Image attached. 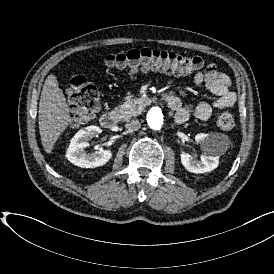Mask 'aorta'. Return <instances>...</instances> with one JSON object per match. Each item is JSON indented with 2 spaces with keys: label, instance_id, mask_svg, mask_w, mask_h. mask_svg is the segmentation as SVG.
<instances>
[{
  "label": "aorta",
  "instance_id": "obj_1",
  "mask_svg": "<svg viewBox=\"0 0 274 274\" xmlns=\"http://www.w3.org/2000/svg\"><path fill=\"white\" fill-rule=\"evenodd\" d=\"M147 123L152 130H161L165 123V116L161 108L152 107L147 113Z\"/></svg>",
  "mask_w": 274,
  "mask_h": 274
}]
</instances>
